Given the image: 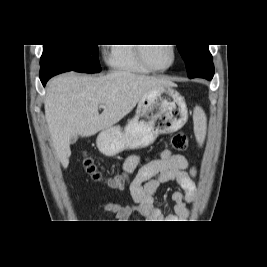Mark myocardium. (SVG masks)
Segmentation results:
<instances>
[{
    "instance_id": "obj_1",
    "label": "myocardium",
    "mask_w": 267,
    "mask_h": 267,
    "mask_svg": "<svg viewBox=\"0 0 267 267\" xmlns=\"http://www.w3.org/2000/svg\"><path fill=\"white\" fill-rule=\"evenodd\" d=\"M171 48L172 51V60L171 63L163 68H159V67H155L148 59L147 57V44H141L140 46H138V55L139 58L141 60V62L146 65L151 71H155V72H165L167 70H169L170 68L173 67V65L176 62V58H177V50H176V46H174L173 44H168Z\"/></svg>"
}]
</instances>
